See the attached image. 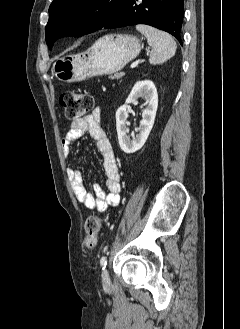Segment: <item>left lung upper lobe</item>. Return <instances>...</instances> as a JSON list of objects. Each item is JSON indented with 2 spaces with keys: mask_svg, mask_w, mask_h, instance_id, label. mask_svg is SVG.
Here are the masks:
<instances>
[{
  "mask_svg": "<svg viewBox=\"0 0 240 329\" xmlns=\"http://www.w3.org/2000/svg\"><path fill=\"white\" fill-rule=\"evenodd\" d=\"M124 0H53L45 38L51 49L54 42L66 36L80 37L101 29Z\"/></svg>",
  "mask_w": 240,
  "mask_h": 329,
  "instance_id": "1",
  "label": "left lung upper lobe"
}]
</instances>
